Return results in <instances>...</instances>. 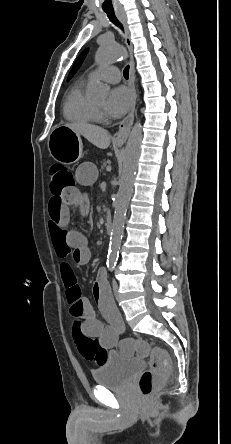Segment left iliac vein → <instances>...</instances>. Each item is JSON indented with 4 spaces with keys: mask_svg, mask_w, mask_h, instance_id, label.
I'll return each mask as SVG.
<instances>
[{
    "mask_svg": "<svg viewBox=\"0 0 231 444\" xmlns=\"http://www.w3.org/2000/svg\"><path fill=\"white\" fill-rule=\"evenodd\" d=\"M113 292L115 294V296H118V283L116 281H113Z\"/></svg>",
    "mask_w": 231,
    "mask_h": 444,
    "instance_id": "obj_1",
    "label": "left iliac vein"
}]
</instances>
